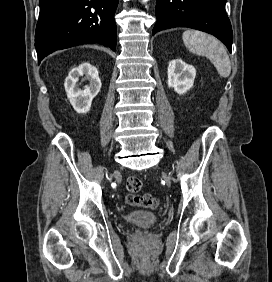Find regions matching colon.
<instances>
[{"instance_id": "5ec220e1", "label": "colon", "mask_w": 272, "mask_h": 282, "mask_svg": "<svg viewBox=\"0 0 272 282\" xmlns=\"http://www.w3.org/2000/svg\"><path fill=\"white\" fill-rule=\"evenodd\" d=\"M127 189L132 193L127 197V203L131 206H140L147 209H156L158 199L151 194H136L142 188V181L138 177H129L127 179Z\"/></svg>"}]
</instances>
